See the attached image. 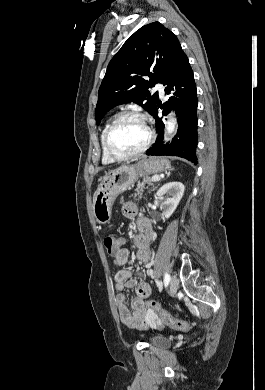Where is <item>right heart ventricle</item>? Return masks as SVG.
Here are the masks:
<instances>
[{"instance_id": "right-heart-ventricle-1", "label": "right heart ventricle", "mask_w": 265, "mask_h": 390, "mask_svg": "<svg viewBox=\"0 0 265 390\" xmlns=\"http://www.w3.org/2000/svg\"><path fill=\"white\" fill-rule=\"evenodd\" d=\"M112 122V119H109L107 120V122L105 123L102 131H101V135H100V142H101V149H102V162L103 164H111V163H114L115 160L112 159L106 152L105 150V146H104V135H105V132L108 128V126L110 125V123Z\"/></svg>"}]
</instances>
